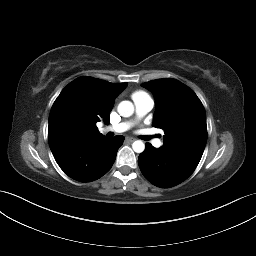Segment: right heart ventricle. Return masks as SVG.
<instances>
[{
    "mask_svg": "<svg viewBox=\"0 0 256 256\" xmlns=\"http://www.w3.org/2000/svg\"><path fill=\"white\" fill-rule=\"evenodd\" d=\"M132 98L134 101L140 100V99H146L150 98L149 95L144 91H136L132 94Z\"/></svg>",
    "mask_w": 256,
    "mask_h": 256,
    "instance_id": "obj_1",
    "label": "right heart ventricle"
}]
</instances>
